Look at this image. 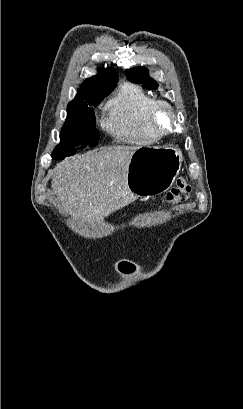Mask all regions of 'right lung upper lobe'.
Returning <instances> with one entry per match:
<instances>
[{
	"label": "right lung upper lobe",
	"instance_id": "obj_1",
	"mask_svg": "<svg viewBox=\"0 0 243 409\" xmlns=\"http://www.w3.org/2000/svg\"><path fill=\"white\" fill-rule=\"evenodd\" d=\"M118 82V73L113 68L103 70L100 75L86 79L78 94L67 108H83L96 103L103 95L110 94Z\"/></svg>",
	"mask_w": 243,
	"mask_h": 409
}]
</instances>
